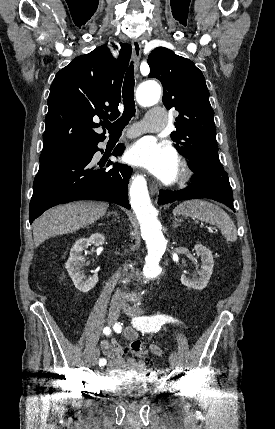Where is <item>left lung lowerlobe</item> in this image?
Here are the masks:
<instances>
[{
	"instance_id": "left-lung-lower-lobe-1",
	"label": "left lung lower lobe",
	"mask_w": 275,
	"mask_h": 429,
	"mask_svg": "<svg viewBox=\"0 0 275 429\" xmlns=\"http://www.w3.org/2000/svg\"><path fill=\"white\" fill-rule=\"evenodd\" d=\"M196 173L190 186L184 190H160L158 204L171 203L176 200L208 198L221 202L235 211L233 193L229 178L224 169L206 165L192 168Z\"/></svg>"
}]
</instances>
